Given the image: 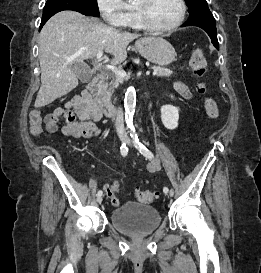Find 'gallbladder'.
<instances>
[{
    "label": "gallbladder",
    "mask_w": 261,
    "mask_h": 273,
    "mask_svg": "<svg viewBox=\"0 0 261 273\" xmlns=\"http://www.w3.org/2000/svg\"><path fill=\"white\" fill-rule=\"evenodd\" d=\"M70 69L79 77L82 83H88L93 76V71L82 63H73Z\"/></svg>",
    "instance_id": "obj_1"
}]
</instances>
